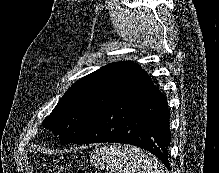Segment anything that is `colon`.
<instances>
[{"label": "colon", "mask_w": 219, "mask_h": 173, "mask_svg": "<svg viewBox=\"0 0 219 173\" xmlns=\"http://www.w3.org/2000/svg\"><path fill=\"white\" fill-rule=\"evenodd\" d=\"M68 168L62 164L54 163L51 164L48 168L49 173H66ZM75 173H88L85 169L79 168L75 171Z\"/></svg>", "instance_id": "1"}]
</instances>
